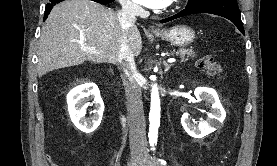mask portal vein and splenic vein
Segmentation results:
<instances>
[{"label":"portal vein and splenic vein","instance_id":"18ae733b","mask_svg":"<svg viewBox=\"0 0 277 166\" xmlns=\"http://www.w3.org/2000/svg\"><path fill=\"white\" fill-rule=\"evenodd\" d=\"M84 51L90 53V54H99L100 52L98 50H96L95 48H90V47H86L83 49ZM169 63H173L176 61L175 58H170L167 60Z\"/></svg>","mask_w":277,"mask_h":166}]
</instances>
